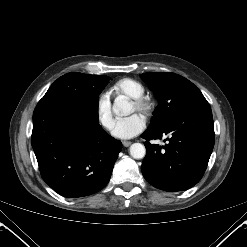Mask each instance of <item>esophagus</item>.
I'll return each mask as SVG.
<instances>
[{"instance_id":"34e87169","label":"esophagus","mask_w":247,"mask_h":247,"mask_svg":"<svg viewBox=\"0 0 247 247\" xmlns=\"http://www.w3.org/2000/svg\"><path fill=\"white\" fill-rule=\"evenodd\" d=\"M122 144H123V146L128 147L131 145V142L130 141H123Z\"/></svg>"}]
</instances>
